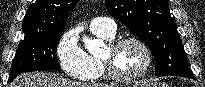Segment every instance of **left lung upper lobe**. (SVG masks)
<instances>
[{
	"instance_id": "1",
	"label": "left lung upper lobe",
	"mask_w": 205,
	"mask_h": 87,
	"mask_svg": "<svg viewBox=\"0 0 205 87\" xmlns=\"http://www.w3.org/2000/svg\"><path fill=\"white\" fill-rule=\"evenodd\" d=\"M108 12L150 49L156 76L191 74L167 0H105Z\"/></svg>"
}]
</instances>
